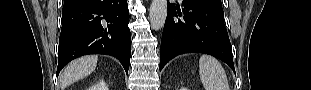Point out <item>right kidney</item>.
Masks as SVG:
<instances>
[{"instance_id":"right-kidney-1","label":"right kidney","mask_w":311,"mask_h":90,"mask_svg":"<svg viewBox=\"0 0 311 90\" xmlns=\"http://www.w3.org/2000/svg\"><path fill=\"white\" fill-rule=\"evenodd\" d=\"M89 90H108V86L102 80V81L98 82L96 85L90 87Z\"/></svg>"}]
</instances>
